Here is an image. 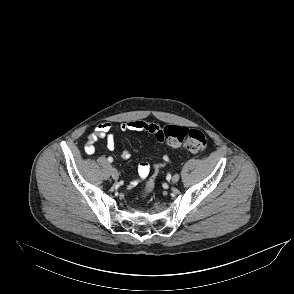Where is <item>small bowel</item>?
<instances>
[{"label":"small bowel","instance_id":"obj_1","mask_svg":"<svg viewBox=\"0 0 294 294\" xmlns=\"http://www.w3.org/2000/svg\"><path fill=\"white\" fill-rule=\"evenodd\" d=\"M149 123L139 120L127 121L120 125V129L123 132L127 131H144L147 130ZM112 125L108 122H103L98 124L95 129L89 134L87 142L85 144V152L87 154H93L95 152V143L101 139L106 140V144L109 150H114L116 148V138L111 132ZM120 157L122 159H128L130 157V152L127 149H122L120 151ZM168 161V157H163V163ZM150 172V166L147 163H141L138 166V177L133 179L130 183V187H134L141 180L145 179Z\"/></svg>","mask_w":294,"mask_h":294}]
</instances>
